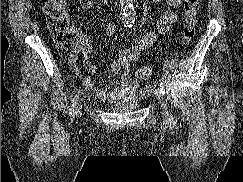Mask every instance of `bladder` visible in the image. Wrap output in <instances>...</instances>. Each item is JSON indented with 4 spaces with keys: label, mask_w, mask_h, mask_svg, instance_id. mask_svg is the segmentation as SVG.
I'll list each match as a JSON object with an SVG mask.
<instances>
[{
    "label": "bladder",
    "mask_w": 243,
    "mask_h": 182,
    "mask_svg": "<svg viewBox=\"0 0 243 182\" xmlns=\"http://www.w3.org/2000/svg\"><path fill=\"white\" fill-rule=\"evenodd\" d=\"M140 102L137 97L129 96L114 103L105 104V110L115 114L132 113L139 108Z\"/></svg>",
    "instance_id": "31cf9c89"
}]
</instances>
